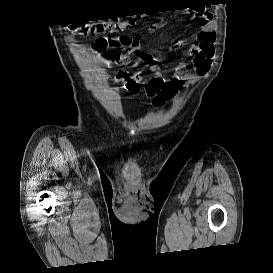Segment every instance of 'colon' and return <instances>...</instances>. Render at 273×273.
Instances as JSON below:
<instances>
[{
	"label": "colon",
	"mask_w": 273,
	"mask_h": 273,
	"mask_svg": "<svg viewBox=\"0 0 273 273\" xmlns=\"http://www.w3.org/2000/svg\"><path fill=\"white\" fill-rule=\"evenodd\" d=\"M134 19H119L107 22H96L91 24H85L82 27V31L91 35H99L106 33H117L124 31L128 26L133 24ZM133 45L137 44V40L132 41Z\"/></svg>",
	"instance_id": "1"
}]
</instances>
